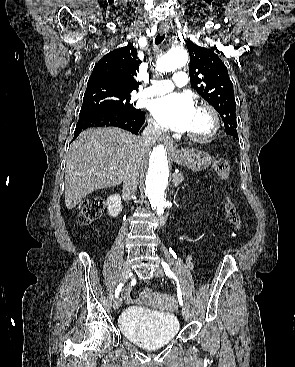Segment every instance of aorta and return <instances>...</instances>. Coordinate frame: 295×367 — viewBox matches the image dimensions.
<instances>
[{
    "label": "aorta",
    "mask_w": 295,
    "mask_h": 367,
    "mask_svg": "<svg viewBox=\"0 0 295 367\" xmlns=\"http://www.w3.org/2000/svg\"><path fill=\"white\" fill-rule=\"evenodd\" d=\"M188 62L183 48H173L166 52L158 62V70L169 72L184 67ZM169 184V160L164 146L153 148L145 173L146 194L151 206L158 215L163 214L167 203L166 193Z\"/></svg>",
    "instance_id": "aorta-1"
}]
</instances>
